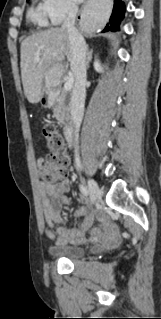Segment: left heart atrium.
Here are the masks:
<instances>
[{
    "label": "left heart atrium",
    "instance_id": "obj_1",
    "mask_svg": "<svg viewBox=\"0 0 161 319\" xmlns=\"http://www.w3.org/2000/svg\"><path fill=\"white\" fill-rule=\"evenodd\" d=\"M76 2H81L82 0H75Z\"/></svg>",
    "mask_w": 161,
    "mask_h": 319
}]
</instances>
